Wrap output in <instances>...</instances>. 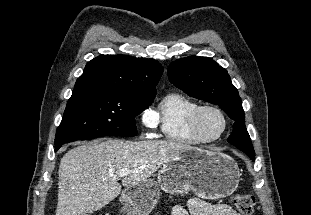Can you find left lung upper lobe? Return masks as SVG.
I'll use <instances>...</instances> for the list:
<instances>
[{
	"label": "left lung upper lobe",
	"instance_id": "5c2ea615",
	"mask_svg": "<svg viewBox=\"0 0 311 215\" xmlns=\"http://www.w3.org/2000/svg\"><path fill=\"white\" fill-rule=\"evenodd\" d=\"M168 77L189 96L220 106L235 121L227 141L254 160L255 152L245 127L242 101L224 68L211 58L190 56L171 63Z\"/></svg>",
	"mask_w": 311,
	"mask_h": 215
}]
</instances>
